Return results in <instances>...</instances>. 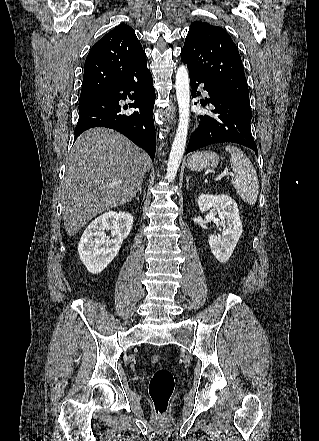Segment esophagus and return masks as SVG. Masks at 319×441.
Wrapping results in <instances>:
<instances>
[{
  "instance_id": "obj_1",
  "label": "esophagus",
  "mask_w": 319,
  "mask_h": 441,
  "mask_svg": "<svg viewBox=\"0 0 319 441\" xmlns=\"http://www.w3.org/2000/svg\"><path fill=\"white\" fill-rule=\"evenodd\" d=\"M175 116H176V107L172 106L169 109L168 118L171 121H175Z\"/></svg>"
}]
</instances>
